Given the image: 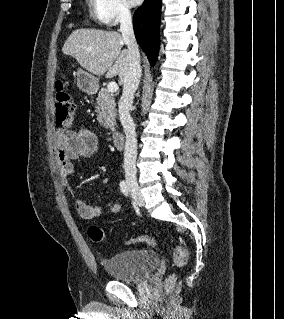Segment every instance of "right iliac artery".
Segmentation results:
<instances>
[{"mask_svg": "<svg viewBox=\"0 0 284 319\" xmlns=\"http://www.w3.org/2000/svg\"><path fill=\"white\" fill-rule=\"evenodd\" d=\"M120 190L125 196L129 195V189L124 180L120 182Z\"/></svg>", "mask_w": 284, "mask_h": 319, "instance_id": "82829eb1", "label": "right iliac artery"}]
</instances>
